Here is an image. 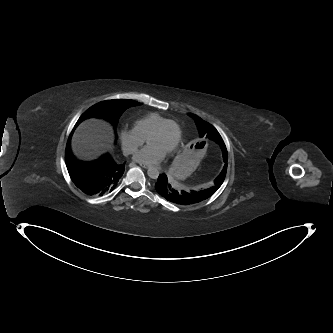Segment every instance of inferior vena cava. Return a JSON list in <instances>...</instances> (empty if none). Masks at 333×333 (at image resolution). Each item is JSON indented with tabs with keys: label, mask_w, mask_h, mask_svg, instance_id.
Instances as JSON below:
<instances>
[{
	"label": "inferior vena cava",
	"mask_w": 333,
	"mask_h": 333,
	"mask_svg": "<svg viewBox=\"0 0 333 333\" xmlns=\"http://www.w3.org/2000/svg\"><path fill=\"white\" fill-rule=\"evenodd\" d=\"M133 151H134L133 149H125V150L123 151V154H124L125 156H127V155L133 153Z\"/></svg>",
	"instance_id": "obj_1"
}]
</instances>
